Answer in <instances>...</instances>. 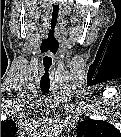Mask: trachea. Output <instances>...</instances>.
<instances>
[{
  "label": "trachea",
  "mask_w": 121,
  "mask_h": 137,
  "mask_svg": "<svg viewBox=\"0 0 121 137\" xmlns=\"http://www.w3.org/2000/svg\"><path fill=\"white\" fill-rule=\"evenodd\" d=\"M61 20V13L59 9V5H55L51 12V17L48 26V45L52 46L56 40V34L58 32ZM41 75H40V89L41 91L46 94L50 88V79H51V72H52V59L49 57L44 58L43 62L41 63Z\"/></svg>",
  "instance_id": "1"
}]
</instances>
